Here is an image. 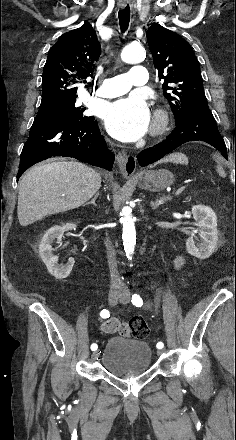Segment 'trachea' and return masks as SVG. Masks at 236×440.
Listing matches in <instances>:
<instances>
[{"label": "trachea", "instance_id": "trachea-1", "mask_svg": "<svg viewBox=\"0 0 236 440\" xmlns=\"http://www.w3.org/2000/svg\"><path fill=\"white\" fill-rule=\"evenodd\" d=\"M119 24L122 32H125L129 26L130 21V7L127 5L124 9L118 12Z\"/></svg>", "mask_w": 236, "mask_h": 440}]
</instances>
